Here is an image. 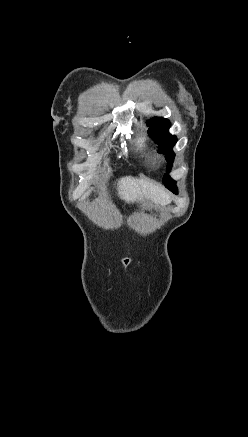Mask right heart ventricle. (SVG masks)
<instances>
[{"label": "right heart ventricle", "mask_w": 248, "mask_h": 437, "mask_svg": "<svg viewBox=\"0 0 248 437\" xmlns=\"http://www.w3.org/2000/svg\"><path fill=\"white\" fill-rule=\"evenodd\" d=\"M137 146L143 149L146 146L144 137H141L137 140Z\"/></svg>", "instance_id": "1"}]
</instances>
